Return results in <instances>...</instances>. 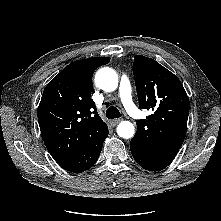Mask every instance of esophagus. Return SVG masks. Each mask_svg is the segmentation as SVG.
Instances as JSON below:
<instances>
[{
  "label": "esophagus",
  "mask_w": 221,
  "mask_h": 221,
  "mask_svg": "<svg viewBox=\"0 0 221 221\" xmlns=\"http://www.w3.org/2000/svg\"><path fill=\"white\" fill-rule=\"evenodd\" d=\"M122 119L118 118V119H113L110 121V125L111 126H116Z\"/></svg>",
  "instance_id": "esophagus-1"
}]
</instances>
